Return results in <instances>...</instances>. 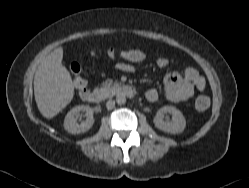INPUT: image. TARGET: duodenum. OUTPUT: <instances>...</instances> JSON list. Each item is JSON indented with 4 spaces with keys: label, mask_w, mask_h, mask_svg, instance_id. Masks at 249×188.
I'll list each match as a JSON object with an SVG mask.
<instances>
[{
    "label": "duodenum",
    "mask_w": 249,
    "mask_h": 188,
    "mask_svg": "<svg viewBox=\"0 0 249 188\" xmlns=\"http://www.w3.org/2000/svg\"><path fill=\"white\" fill-rule=\"evenodd\" d=\"M115 93L119 96H125L129 98H133L136 95L135 89L128 85L117 86ZM84 96L88 102L97 104L101 103L108 96V92L103 90H93L89 92L87 91Z\"/></svg>",
    "instance_id": "duodenum-1"
}]
</instances>
